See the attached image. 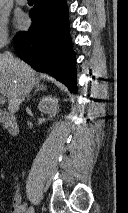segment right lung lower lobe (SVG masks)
I'll return each instance as SVG.
<instances>
[{"label":"right lung lower lobe","instance_id":"obj_1","mask_svg":"<svg viewBox=\"0 0 128 213\" xmlns=\"http://www.w3.org/2000/svg\"><path fill=\"white\" fill-rule=\"evenodd\" d=\"M32 25L13 38L17 55L37 71L50 73L77 92L75 53L71 50L66 0H35Z\"/></svg>","mask_w":128,"mask_h":213}]
</instances>
